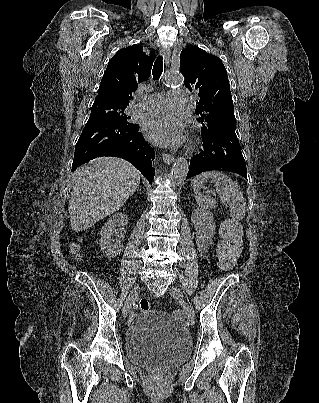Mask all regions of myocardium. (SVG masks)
<instances>
[{"mask_svg": "<svg viewBox=\"0 0 319 403\" xmlns=\"http://www.w3.org/2000/svg\"><path fill=\"white\" fill-rule=\"evenodd\" d=\"M194 147V142L190 143L189 149H192Z\"/></svg>", "mask_w": 319, "mask_h": 403, "instance_id": "f54148a6", "label": "myocardium"}]
</instances>
